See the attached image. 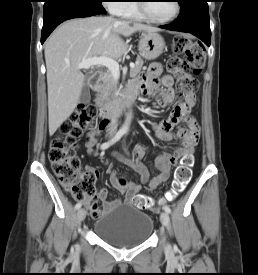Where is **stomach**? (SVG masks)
<instances>
[{
  "mask_svg": "<svg viewBox=\"0 0 258 275\" xmlns=\"http://www.w3.org/2000/svg\"><path fill=\"white\" fill-rule=\"evenodd\" d=\"M165 47L164 39L157 32H144L141 34L138 49L140 55L146 60L158 58Z\"/></svg>",
  "mask_w": 258,
  "mask_h": 275,
  "instance_id": "0dacf381",
  "label": "stomach"
}]
</instances>
